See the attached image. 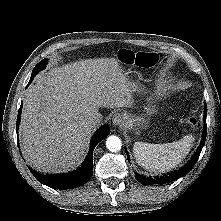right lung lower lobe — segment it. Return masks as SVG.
<instances>
[{"mask_svg": "<svg viewBox=\"0 0 221 221\" xmlns=\"http://www.w3.org/2000/svg\"><path fill=\"white\" fill-rule=\"evenodd\" d=\"M35 76V75H34ZM33 80V76L31 75V79L28 83V85ZM21 108L20 106L18 117H17V125L18 128L19 120L21 116ZM110 133L108 125L102 126L99 131L95 134V136L91 140V146L89 153L85 159V161L82 163L81 167H79L77 170L69 172L67 174H57V175H43L40 173L35 172L34 170L30 171L34 175V177L42 184L55 188V189H72L77 186H81L85 184L87 181H89L93 174V151L95 146L98 142L102 141L108 134Z\"/></svg>", "mask_w": 221, "mask_h": 221, "instance_id": "1", "label": "right lung lower lobe"}]
</instances>
